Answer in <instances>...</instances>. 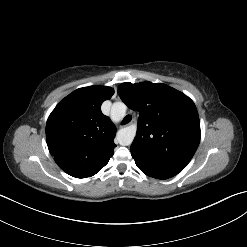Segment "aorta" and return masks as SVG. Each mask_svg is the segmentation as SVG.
Masks as SVG:
<instances>
[{
    "label": "aorta",
    "mask_w": 247,
    "mask_h": 247,
    "mask_svg": "<svg viewBox=\"0 0 247 247\" xmlns=\"http://www.w3.org/2000/svg\"><path fill=\"white\" fill-rule=\"evenodd\" d=\"M127 106L123 102H115L111 107V118L120 121L125 117ZM136 134V127L128 126L122 128L117 133V141L122 146L132 144Z\"/></svg>",
    "instance_id": "1"
}]
</instances>
